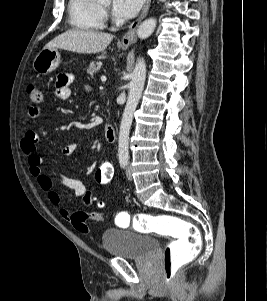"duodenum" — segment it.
<instances>
[{"label":"duodenum","mask_w":267,"mask_h":301,"mask_svg":"<svg viewBox=\"0 0 267 301\" xmlns=\"http://www.w3.org/2000/svg\"><path fill=\"white\" fill-rule=\"evenodd\" d=\"M105 138L108 142H114L116 140L115 128L109 124L105 126Z\"/></svg>","instance_id":"duodenum-1"}]
</instances>
